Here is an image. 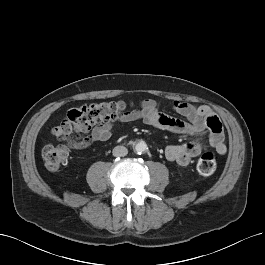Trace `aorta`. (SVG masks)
I'll use <instances>...</instances> for the list:
<instances>
[{
    "mask_svg": "<svg viewBox=\"0 0 265 265\" xmlns=\"http://www.w3.org/2000/svg\"><path fill=\"white\" fill-rule=\"evenodd\" d=\"M134 150L141 154V153H144L148 150V147H147V144L144 142V141H139L136 143L135 147H134Z\"/></svg>",
    "mask_w": 265,
    "mask_h": 265,
    "instance_id": "1",
    "label": "aorta"
}]
</instances>
